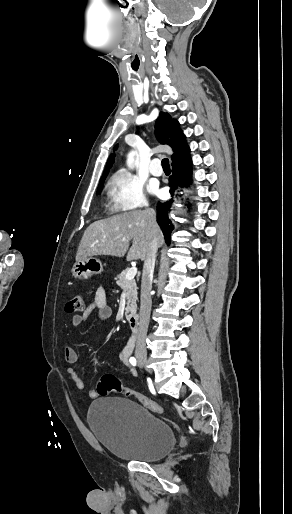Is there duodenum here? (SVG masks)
<instances>
[{
    "label": "duodenum",
    "mask_w": 292,
    "mask_h": 514,
    "mask_svg": "<svg viewBox=\"0 0 292 514\" xmlns=\"http://www.w3.org/2000/svg\"><path fill=\"white\" fill-rule=\"evenodd\" d=\"M129 328L133 334H136L139 329V317L138 315H132L129 318Z\"/></svg>",
    "instance_id": "duodenum-1"
}]
</instances>
